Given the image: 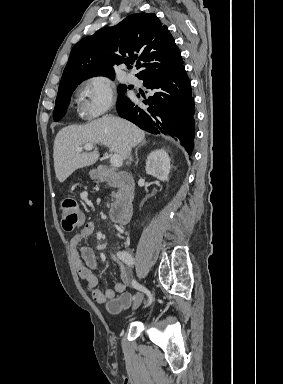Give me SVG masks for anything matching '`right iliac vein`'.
<instances>
[{"mask_svg": "<svg viewBox=\"0 0 283 384\" xmlns=\"http://www.w3.org/2000/svg\"><path fill=\"white\" fill-rule=\"evenodd\" d=\"M142 299H143V294H139L138 298H137V300L135 302L134 308H137L139 306V304L142 301Z\"/></svg>", "mask_w": 283, "mask_h": 384, "instance_id": "right-iliac-vein-1", "label": "right iliac vein"}]
</instances>
